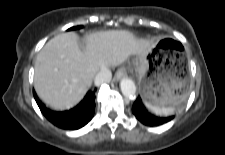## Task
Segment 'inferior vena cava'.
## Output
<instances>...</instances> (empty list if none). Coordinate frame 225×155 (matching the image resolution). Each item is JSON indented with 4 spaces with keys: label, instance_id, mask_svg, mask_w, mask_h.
Listing matches in <instances>:
<instances>
[{
    "label": "inferior vena cava",
    "instance_id": "inferior-vena-cava-1",
    "mask_svg": "<svg viewBox=\"0 0 225 155\" xmlns=\"http://www.w3.org/2000/svg\"><path fill=\"white\" fill-rule=\"evenodd\" d=\"M112 78V73L108 68H102L94 77L95 85L99 86L103 83H109Z\"/></svg>",
    "mask_w": 225,
    "mask_h": 155
}]
</instances>
